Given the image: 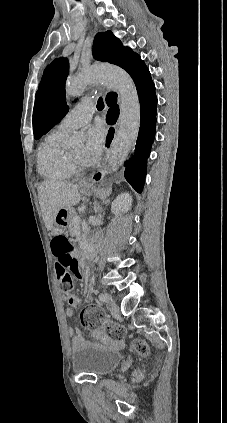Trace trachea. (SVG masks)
I'll use <instances>...</instances> for the list:
<instances>
[{
    "label": "trachea",
    "mask_w": 227,
    "mask_h": 423,
    "mask_svg": "<svg viewBox=\"0 0 227 423\" xmlns=\"http://www.w3.org/2000/svg\"><path fill=\"white\" fill-rule=\"evenodd\" d=\"M96 107H97L98 110H103V108H104V102H103L102 97H100L98 99V102H97V106Z\"/></svg>",
    "instance_id": "3493384b"
}]
</instances>
